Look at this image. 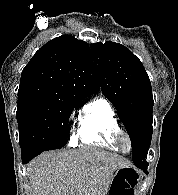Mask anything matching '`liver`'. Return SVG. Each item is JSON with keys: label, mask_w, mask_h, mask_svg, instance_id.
I'll list each match as a JSON object with an SVG mask.
<instances>
[{"label": "liver", "mask_w": 178, "mask_h": 195, "mask_svg": "<svg viewBox=\"0 0 178 195\" xmlns=\"http://www.w3.org/2000/svg\"><path fill=\"white\" fill-rule=\"evenodd\" d=\"M126 167L125 158L94 147L44 152L27 166L30 195H106Z\"/></svg>", "instance_id": "6515ba94"}]
</instances>
